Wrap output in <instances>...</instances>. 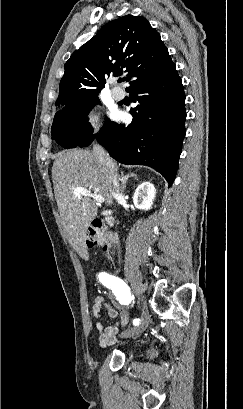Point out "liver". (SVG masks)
<instances>
[{
    "label": "liver",
    "instance_id": "liver-1",
    "mask_svg": "<svg viewBox=\"0 0 243 409\" xmlns=\"http://www.w3.org/2000/svg\"><path fill=\"white\" fill-rule=\"evenodd\" d=\"M114 164L115 172L118 166ZM52 180L61 222L73 248L85 249L88 226L97 216V205L91 199L74 195L77 187H84L104 197L107 206L113 204L107 170L92 152L74 149L63 151L56 157L52 167Z\"/></svg>",
    "mask_w": 243,
    "mask_h": 409
}]
</instances>
